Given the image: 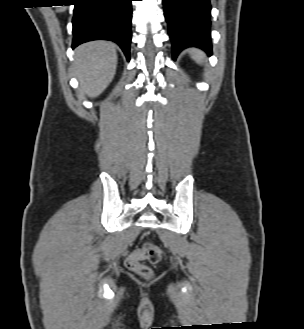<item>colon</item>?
<instances>
[{
  "instance_id": "1",
  "label": "colon",
  "mask_w": 304,
  "mask_h": 329,
  "mask_svg": "<svg viewBox=\"0 0 304 329\" xmlns=\"http://www.w3.org/2000/svg\"><path fill=\"white\" fill-rule=\"evenodd\" d=\"M162 259V250L150 243H145L142 248L132 252L126 259V267L138 274L139 276L149 279L153 271L151 267L143 264V261H148L151 264H156Z\"/></svg>"
}]
</instances>
